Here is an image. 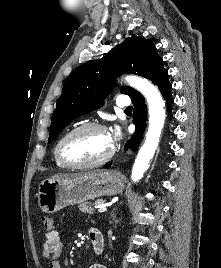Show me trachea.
<instances>
[{
  "mask_svg": "<svg viewBox=\"0 0 221 268\" xmlns=\"http://www.w3.org/2000/svg\"><path fill=\"white\" fill-rule=\"evenodd\" d=\"M125 111H127V112L132 111V107H131V106H130V107H127V108L125 109Z\"/></svg>",
  "mask_w": 221,
  "mask_h": 268,
  "instance_id": "trachea-1",
  "label": "trachea"
}]
</instances>
